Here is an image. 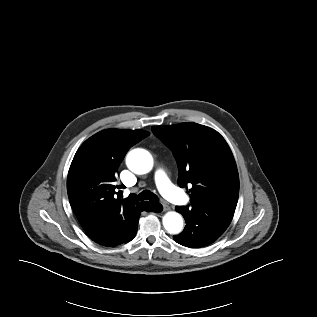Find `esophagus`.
<instances>
[{
	"mask_svg": "<svg viewBox=\"0 0 317 317\" xmlns=\"http://www.w3.org/2000/svg\"><path fill=\"white\" fill-rule=\"evenodd\" d=\"M163 210L164 211H169L170 210L169 205H167L166 203H163Z\"/></svg>",
	"mask_w": 317,
	"mask_h": 317,
	"instance_id": "obj_1",
	"label": "esophagus"
}]
</instances>
